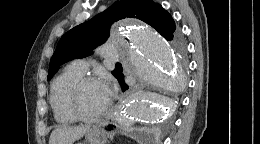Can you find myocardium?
I'll list each match as a JSON object with an SVG mask.
<instances>
[{
  "label": "myocardium",
  "mask_w": 260,
  "mask_h": 144,
  "mask_svg": "<svg viewBox=\"0 0 260 144\" xmlns=\"http://www.w3.org/2000/svg\"><path fill=\"white\" fill-rule=\"evenodd\" d=\"M99 82L96 78L91 77V76H82L79 80L75 82L73 87L70 90L68 99H67V108L71 115L79 121L83 122H96L99 121L108 111L110 103L106 105V107L101 110L99 113L95 115H87L85 114L80 106H79V99L81 96V92L83 88L90 83H96Z\"/></svg>",
  "instance_id": "1"
}]
</instances>
